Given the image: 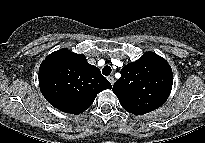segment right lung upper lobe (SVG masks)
Listing matches in <instances>:
<instances>
[{
  "label": "right lung upper lobe",
  "instance_id": "right-lung-upper-lobe-1",
  "mask_svg": "<svg viewBox=\"0 0 205 143\" xmlns=\"http://www.w3.org/2000/svg\"><path fill=\"white\" fill-rule=\"evenodd\" d=\"M39 87L55 108L70 114L84 112L98 93L111 89L100 70L83 54L61 49L48 55L39 68Z\"/></svg>",
  "mask_w": 205,
  "mask_h": 143
}]
</instances>
